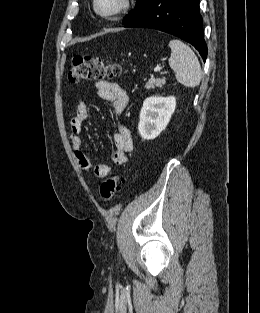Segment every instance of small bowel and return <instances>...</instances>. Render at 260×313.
I'll list each match as a JSON object with an SVG mask.
<instances>
[{"mask_svg":"<svg viewBox=\"0 0 260 313\" xmlns=\"http://www.w3.org/2000/svg\"><path fill=\"white\" fill-rule=\"evenodd\" d=\"M97 94L103 100L110 102L114 112L121 115L127 107L129 96L117 83L101 80L96 83ZM89 119V111L84 101L80 100L75 114L70 119L71 144L76 162L82 172L92 174L98 178L108 176L112 168L109 165H94L83 150L81 137L82 128ZM114 151L112 161L116 165H124L127 162V153L133 149V140L130 131L124 125H119L118 130L112 136Z\"/></svg>","mask_w":260,"mask_h":313,"instance_id":"small-bowel-1","label":"small bowel"}]
</instances>
